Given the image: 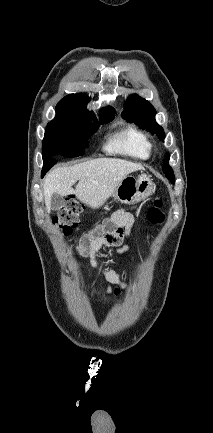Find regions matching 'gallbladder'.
<instances>
[{
    "mask_svg": "<svg viewBox=\"0 0 213 433\" xmlns=\"http://www.w3.org/2000/svg\"><path fill=\"white\" fill-rule=\"evenodd\" d=\"M64 203L63 196L55 192L51 196L50 208L54 211L60 210Z\"/></svg>",
    "mask_w": 213,
    "mask_h": 433,
    "instance_id": "obj_1",
    "label": "gallbladder"
}]
</instances>
